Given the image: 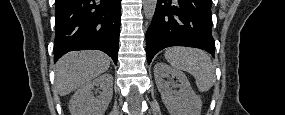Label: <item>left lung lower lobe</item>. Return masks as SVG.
Masks as SVG:
<instances>
[{"mask_svg":"<svg viewBox=\"0 0 285 115\" xmlns=\"http://www.w3.org/2000/svg\"><path fill=\"white\" fill-rule=\"evenodd\" d=\"M211 5L212 0H159L146 34L148 64L169 46L196 47L214 55Z\"/></svg>","mask_w":285,"mask_h":115,"instance_id":"0a47b994","label":"left lung lower lobe"}]
</instances>
